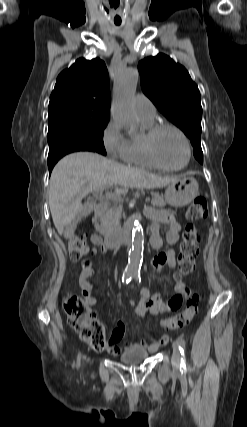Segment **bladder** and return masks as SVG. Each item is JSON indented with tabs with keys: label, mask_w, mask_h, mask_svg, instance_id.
<instances>
[{
	"label": "bladder",
	"mask_w": 247,
	"mask_h": 427,
	"mask_svg": "<svg viewBox=\"0 0 247 427\" xmlns=\"http://www.w3.org/2000/svg\"><path fill=\"white\" fill-rule=\"evenodd\" d=\"M148 356L149 353L147 350L136 347L123 351L119 356V360L124 364L131 365L144 361Z\"/></svg>",
	"instance_id": "31cf9c89"
}]
</instances>
